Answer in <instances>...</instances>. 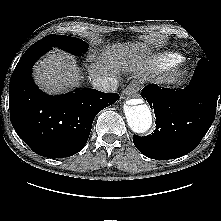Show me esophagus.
<instances>
[{
    "label": "esophagus",
    "mask_w": 221,
    "mask_h": 221,
    "mask_svg": "<svg viewBox=\"0 0 221 221\" xmlns=\"http://www.w3.org/2000/svg\"><path fill=\"white\" fill-rule=\"evenodd\" d=\"M138 91H139V85L136 83H132L126 87V89L123 91V94L128 96H135Z\"/></svg>",
    "instance_id": "esophagus-1"
}]
</instances>
